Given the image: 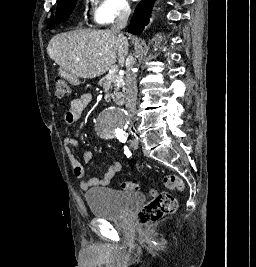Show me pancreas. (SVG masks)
<instances>
[{"mask_svg":"<svg viewBox=\"0 0 256 267\" xmlns=\"http://www.w3.org/2000/svg\"><path fill=\"white\" fill-rule=\"evenodd\" d=\"M114 76L116 74H108L106 78H103L101 82H99L100 86H103L105 92L108 90H114V94H109L112 96L113 102L118 104V106H123L124 104V82L122 76H118V82H112Z\"/></svg>","mask_w":256,"mask_h":267,"instance_id":"obj_1","label":"pancreas"}]
</instances>
